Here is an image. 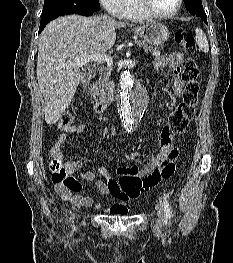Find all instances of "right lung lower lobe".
Returning a JSON list of instances; mask_svg holds the SVG:
<instances>
[{
  "label": "right lung lower lobe",
  "instance_id": "right-lung-lower-lobe-1",
  "mask_svg": "<svg viewBox=\"0 0 233 263\" xmlns=\"http://www.w3.org/2000/svg\"><path fill=\"white\" fill-rule=\"evenodd\" d=\"M95 11L87 9L85 7H81L76 14H81L85 16L92 15ZM50 21H41L40 22V27H39V33L44 29V27L49 23Z\"/></svg>",
  "mask_w": 233,
  "mask_h": 263
}]
</instances>
